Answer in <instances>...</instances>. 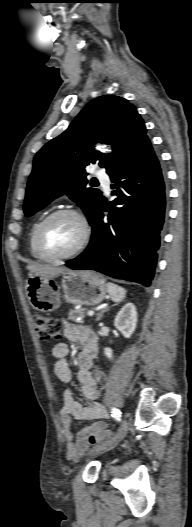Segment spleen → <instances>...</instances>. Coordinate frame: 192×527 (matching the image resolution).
I'll return each instance as SVG.
<instances>
[{"label":"spleen","instance_id":"obj_1","mask_svg":"<svg viewBox=\"0 0 192 527\" xmlns=\"http://www.w3.org/2000/svg\"><path fill=\"white\" fill-rule=\"evenodd\" d=\"M107 292L114 302H121L126 296V290L114 283H107Z\"/></svg>","mask_w":192,"mask_h":527}]
</instances>
